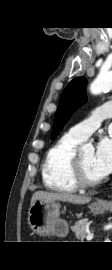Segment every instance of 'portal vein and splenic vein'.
I'll return each mask as SVG.
<instances>
[{"mask_svg":"<svg viewBox=\"0 0 112 270\" xmlns=\"http://www.w3.org/2000/svg\"><path fill=\"white\" fill-rule=\"evenodd\" d=\"M93 237H94V234H93V233H88L86 239H87L88 241H90V240L93 239Z\"/></svg>","mask_w":112,"mask_h":270,"instance_id":"1","label":"portal vein and splenic vein"}]
</instances>
